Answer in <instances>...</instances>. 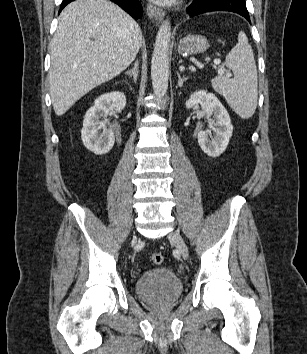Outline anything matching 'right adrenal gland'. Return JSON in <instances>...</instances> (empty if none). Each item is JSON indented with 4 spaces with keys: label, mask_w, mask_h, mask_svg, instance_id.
<instances>
[{
    "label": "right adrenal gland",
    "mask_w": 307,
    "mask_h": 354,
    "mask_svg": "<svg viewBox=\"0 0 307 354\" xmlns=\"http://www.w3.org/2000/svg\"><path fill=\"white\" fill-rule=\"evenodd\" d=\"M138 74H139V61L136 60L134 63V67L130 71H127L126 75L133 77V80L136 83Z\"/></svg>",
    "instance_id": "right-adrenal-gland-1"
}]
</instances>
